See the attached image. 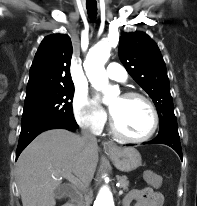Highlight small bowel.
<instances>
[{
  "mask_svg": "<svg viewBox=\"0 0 197 206\" xmlns=\"http://www.w3.org/2000/svg\"><path fill=\"white\" fill-rule=\"evenodd\" d=\"M163 206L164 199L160 192L152 188L131 190L124 198V206Z\"/></svg>",
  "mask_w": 197,
  "mask_h": 206,
  "instance_id": "1",
  "label": "small bowel"
}]
</instances>
